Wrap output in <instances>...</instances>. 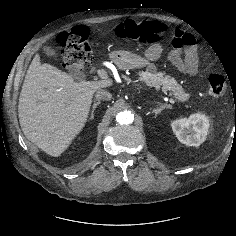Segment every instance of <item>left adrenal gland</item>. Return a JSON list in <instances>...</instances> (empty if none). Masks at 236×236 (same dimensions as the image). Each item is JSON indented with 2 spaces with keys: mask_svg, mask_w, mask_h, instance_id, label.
Instances as JSON below:
<instances>
[{
  "mask_svg": "<svg viewBox=\"0 0 236 236\" xmlns=\"http://www.w3.org/2000/svg\"><path fill=\"white\" fill-rule=\"evenodd\" d=\"M168 108H171V106L167 104H160V106L158 108H154L152 112L155 113V117H157V115L160 114L164 109Z\"/></svg>",
  "mask_w": 236,
  "mask_h": 236,
  "instance_id": "1",
  "label": "left adrenal gland"
}]
</instances>
